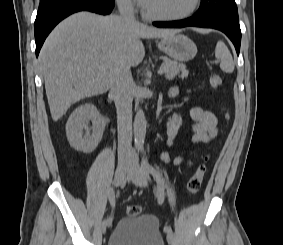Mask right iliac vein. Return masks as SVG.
I'll use <instances>...</instances> for the list:
<instances>
[{
    "mask_svg": "<svg viewBox=\"0 0 283 245\" xmlns=\"http://www.w3.org/2000/svg\"><path fill=\"white\" fill-rule=\"evenodd\" d=\"M128 164H129L128 158H122V159L119 160L118 166H117L116 172H115V177H114L115 186H119L122 183ZM110 224H111V222L107 221V219H105L102 222L101 231H102L103 234L106 233L107 227Z\"/></svg>",
    "mask_w": 283,
    "mask_h": 245,
    "instance_id": "right-iliac-vein-1",
    "label": "right iliac vein"
}]
</instances>
